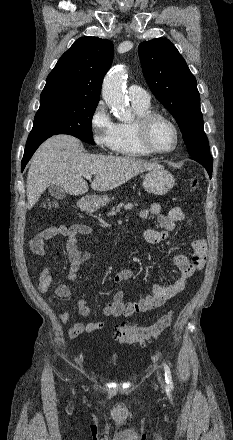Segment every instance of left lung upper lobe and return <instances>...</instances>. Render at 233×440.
Here are the masks:
<instances>
[{
	"label": "left lung upper lobe",
	"mask_w": 233,
	"mask_h": 440,
	"mask_svg": "<svg viewBox=\"0 0 233 440\" xmlns=\"http://www.w3.org/2000/svg\"><path fill=\"white\" fill-rule=\"evenodd\" d=\"M138 52L145 79L177 121L189 155L209 154L197 82L184 58L166 38L142 42Z\"/></svg>",
	"instance_id": "1"
}]
</instances>
